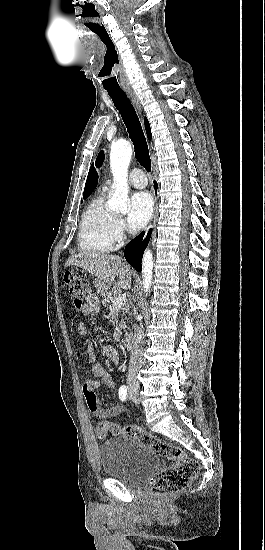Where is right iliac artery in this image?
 Instances as JSON below:
<instances>
[{
    "mask_svg": "<svg viewBox=\"0 0 265 550\" xmlns=\"http://www.w3.org/2000/svg\"><path fill=\"white\" fill-rule=\"evenodd\" d=\"M118 394H119L120 400L125 401L127 396V387L125 385L121 386Z\"/></svg>",
    "mask_w": 265,
    "mask_h": 550,
    "instance_id": "obj_1",
    "label": "right iliac artery"
}]
</instances>
